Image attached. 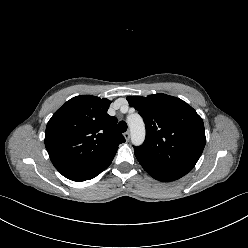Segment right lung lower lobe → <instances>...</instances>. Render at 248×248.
Masks as SVG:
<instances>
[{"label": "right lung lower lobe", "mask_w": 248, "mask_h": 248, "mask_svg": "<svg viewBox=\"0 0 248 248\" xmlns=\"http://www.w3.org/2000/svg\"><path fill=\"white\" fill-rule=\"evenodd\" d=\"M112 160L107 161L101 165H98L89 169H63L59 170V172L66 178L73 181H85L96 177L103 170H105Z\"/></svg>", "instance_id": "right-lung-lower-lobe-1"}]
</instances>
